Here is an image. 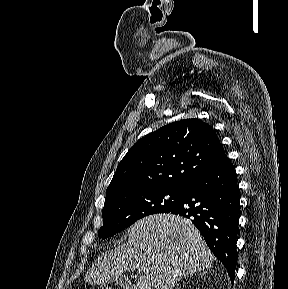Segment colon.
<instances>
[{
  "label": "colon",
  "mask_w": 288,
  "mask_h": 289,
  "mask_svg": "<svg viewBox=\"0 0 288 289\" xmlns=\"http://www.w3.org/2000/svg\"><path fill=\"white\" fill-rule=\"evenodd\" d=\"M97 289H105V288H97Z\"/></svg>",
  "instance_id": "colon-1"
}]
</instances>
